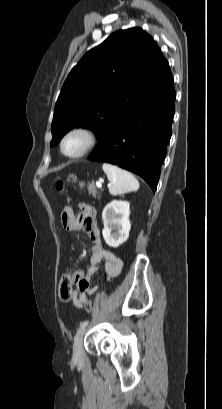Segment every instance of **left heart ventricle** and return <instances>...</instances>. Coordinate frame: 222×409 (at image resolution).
<instances>
[{"mask_svg": "<svg viewBox=\"0 0 222 409\" xmlns=\"http://www.w3.org/2000/svg\"><path fill=\"white\" fill-rule=\"evenodd\" d=\"M84 143L85 139L82 135H72L65 143V151L68 153H76L83 147Z\"/></svg>", "mask_w": 222, "mask_h": 409, "instance_id": "left-heart-ventricle-1", "label": "left heart ventricle"}]
</instances>
